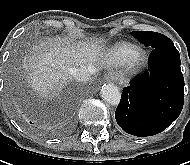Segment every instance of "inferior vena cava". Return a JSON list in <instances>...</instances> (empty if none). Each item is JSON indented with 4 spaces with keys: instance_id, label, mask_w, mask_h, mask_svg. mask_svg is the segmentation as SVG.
<instances>
[{
    "instance_id": "1",
    "label": "inferior vena cava",
    "mask_w": 190,
    "mask_h": 165,
    "mask_svg": "<svg viewBox=\"0 0 190 165\" xmlns=\"http://www.w3.org/2000/svg\"><path fill=\"white\" fill-rule=\"evenodd\" d=\"M71 75L78 81L87 82L94 73L93 67L81 66L80 68H71Z\"/></svg>"
}]
</instances>
